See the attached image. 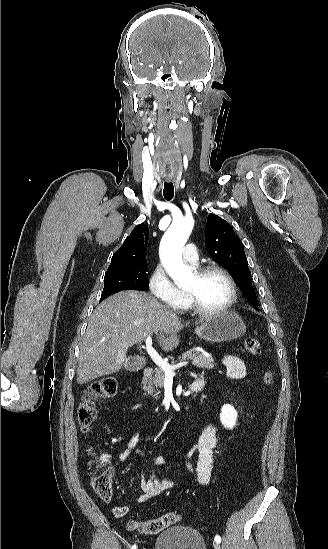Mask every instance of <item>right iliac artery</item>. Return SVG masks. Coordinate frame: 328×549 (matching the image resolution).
Listing matches in <instances>:
<instances>
[{
	"instance_id": "1",
	"label": "right iliac artery",
	"mask_w": 328,
	"mask_h": 549,
	"mask_svg": "<svg viewBox=\"0 0 328 549\" xmlns=\"http://www.w3.org/2000/svg\"><path fill=\"white\" fill-rule=\"evenodd\" d=\"M136 547H137L136 545H133V546L131 547V549H136Z\"/></svg>"
}]
</instances>
